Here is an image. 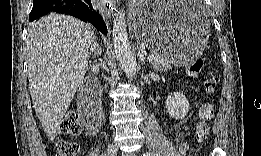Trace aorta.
Returning a JSON list of instances; mask_svg holds the SVG:
<instances>
[{"label":"aorta","instance_id":"obj_1","mask_svg":"<svg viewBox=\"0 0 261 156\" xmlns=\"http://www.w3.org/2000/svg\"><path fill=\"white\" fill-rule=\"evenodd\" d=\"M124 13L120 12L114 20L112 29V40L116 59L127 77L134 78L137 75V63L134 58L128 39L127 25L124 19Z\"/></svg>","mask_w":261,"mask_h":156}]
</instances>
